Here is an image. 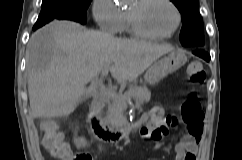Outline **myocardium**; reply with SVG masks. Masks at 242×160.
Segmentation results:
<instances>
[{
  "instance_id": "1",
  "label": "myocardium",
  "mask_w": 242,
  "mask_h": 160,
  "mask_svg": "<svg viewBox=\"0 0 242 160\" xmlns=\"http://www.w3.org/2000/svg\"><path fill=\"white\" fill-rule=\"evenodd\" d=\"M137 2L138 7H142L145 5L149 0H135ZM166 3H168L176 14V24L172 31H170L167 34H153L148 32L144 27L142 26L138 11L137 10H129L127 11L129 23L131 26L132 31L135 35L141 38L150 39V40H163L171 38L180 28L181 22H182V15L180 12V9L178 6L174 3L173 0H164Z\"/></svg>"
}]
</instances>
